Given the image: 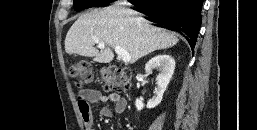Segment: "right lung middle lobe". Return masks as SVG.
<instances>
[{"mask_svg":"<svg viewBox=\"0 0 257 130\" xmlns=\"http://www.w3.org/2000/svg\"><path fill=\"white\" fill-rule=\"evenodd\" d=\"M110 2V0H74V8L76 11H81L87 7H102Z\"/></svg>","mask_w":257,"mask_h":130,"instance_id":"dd1d6c3e","label":"right lung middle lobe"}]
</instances>
